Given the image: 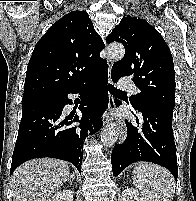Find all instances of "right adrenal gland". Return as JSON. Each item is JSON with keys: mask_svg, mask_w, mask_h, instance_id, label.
I'll use <instances>...</instances> for the list:
<instances>
[{"mask_svg": "<svg viewBox=\"0 0 196 201\" xmlns=\"http://www.w3.org/2000/svg\"><path fill=\"white\" fill-rule=\"evenodd\" d=\"M70 178H71V179H75L74 174H71ZM70 178H69V179H70Z\"/></svg>", "mask_w": 196, "mask_h": 201, "instance_id": "obj_1", "label": "right adrenal gland"}]
</instances>
